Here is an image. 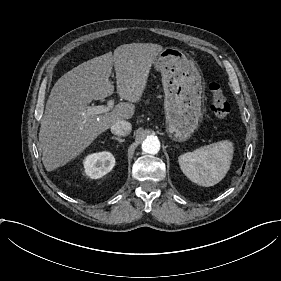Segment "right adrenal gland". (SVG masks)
<instances>
[{"mask_svg":"<svg viewBox=\"0 0 281 281\" xmlns=\"http://www.w3.org/2000/svg\"><path fill=\"white\" fill-rule=\"evenodd\" d=\"M112 139L117 140L119 143H122L125 141V139H122L120 137L112 136Z\"/></svg>","mask_w":281,"mask_h":281,"instance_id":"2a0ac1e0","label":"right adrenal gland"}]
</instances>
